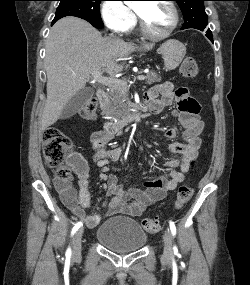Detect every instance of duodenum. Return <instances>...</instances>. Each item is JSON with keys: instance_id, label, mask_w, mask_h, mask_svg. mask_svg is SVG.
<instances>
[{"instance_id": "duodenum-1", "label": "duodenum", "mask_w": 250, "mask_h": 285, "mask_svg": "<svg viewBox=\"0 0 250 285\" xmlns=\"http://www.w3.org/2000/svg\"><path fill=\"white\" fill-rule=\"evenodd\" d=\"M97 97L101 104H105L108 99V93L104 89H99L97 92ZM141 116L142 115L140 111L130 112L115 121L108 122L106 124V129L110 132H117L123 126L132 122L139 121L141 119Z\"/></svg>"}]
</instances>
